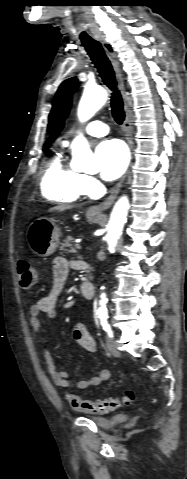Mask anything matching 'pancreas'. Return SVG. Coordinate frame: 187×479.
<instances>
[{
  "mask_svg": "<svg viewBox=\"0 0 187 479\" xmlns=\"http://www.w3.org/2000/svg\"><path fill=\"white\" fill-rule=\"evenodd\" d=\"M73 240H74V238L71 237V236L66 237L63 240V243L61 244L60 249L63 250V251L73 252L74 249H73L72 244H71L73 242ZM66 248H69V249H66Z\"/></svg>",
  "mask_w": 187,
  "mask_h": 479,
  "instance_id": "obj_1",
  "label": "pancreas"
}]
</instances>
